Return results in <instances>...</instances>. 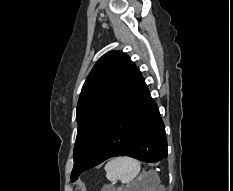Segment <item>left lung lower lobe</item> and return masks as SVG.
<instances>
[{
  "label": "left lung lower lobe",
  "instance_id": "obj_1",
  "mask_svg": "<svg viewBox=\"0 0 233 191\" xmlns=\"http://www.w3.org/2000/svg\"><path fill=\"white\" fill-rule=\"evenodd\" d=\"M115 156L149 163L168 156L164 124L143 78L110 121L81 170L71 177L72 182L84 171Z\"/></svg>",
  "mask_w": 233,
  "mask_h": 191
}]
</instances>
